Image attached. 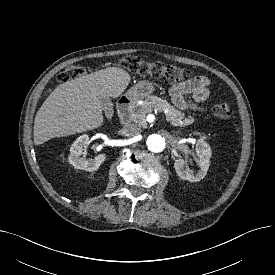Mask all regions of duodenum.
<instances>
[{
    "mask_svg": "<svg viewBox=\"0 0 275 275\" xmlns=\"http://www.w3.org/2000/svg\"><path fill=\"white\" fill-rule=\"evenodd\" d=\"M134 102V99L130 96H124L120 98L117 103V111L119 115V119L123 124L129 122V112L130 108Z\"/></svg>",
    "mask_w": 275,
    "mask_h": 275,
    "instance_id": "obj_1",
    "label": "duodenum"
}]
</instances>
